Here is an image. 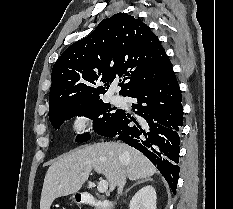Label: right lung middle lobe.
Returning <instances> with one entry per match:
<instances>
[{"label":"right lung middle lobe","mask_w":233,"mask_h":209,"mask_svg":"<svg viewBox=\"0 0 233 209\" xmlns=\"http://www.w3.org/2000/svg\"><path fill=\"white\" fill-rule=\"evenodd\" d=\"M113 108L109 103H104L101 99L59 107L49 113L50 121L55 129H59L65 120H69L74 116H85L93 120V129L98 134L103 133L107 128L115 122L121 114V110L112 112ZM89 133L78 135L77 142H85L89 140Z\"/></svg>","instance_id":"dd1d6c3e"}]
</instances>
